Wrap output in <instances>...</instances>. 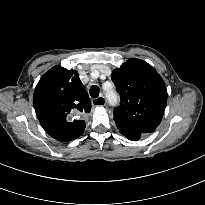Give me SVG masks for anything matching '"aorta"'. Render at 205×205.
<instances>
[{
	"instance_id": "1",
	"label": "aorta",
	"mask_w": 205,
	"mask_h": 205,
	"mask_svg": "<svg viewBox=\"0 0 205 205\" xmlns=\"http://www.w3.org/2000/svg\"><path fill=\"white\" fill-rule=\"evenodd\" d=\"M106 98L111 105H116L119 99L117 93L113 90L106 93Z\"/></svg>"
}]
</instances>
